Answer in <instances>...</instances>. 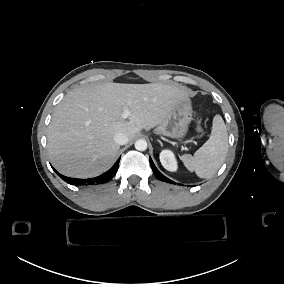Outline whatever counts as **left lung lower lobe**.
Instances as JSON below:
<instances>
[{"label": "left lung lower lobe", "instance_id": "0a47b994", "mask_svg": "<svg viewBox=\"0 0 284 284\" xmlns=\"http://www.w3.org/2000/svg\"><path fill=\"white\" fill-rule=\"evenodd\" d=\"M150 164H151V167H152V170L154 172V175L161 181H164V182H168V183H174L173 181H171L170 179H168L167 177H165L163 174H161L158 169L156 168V166L154 165L152 159L150 158Z\"/></svg>", "mask_w": 284, "mask_h": 284}]
</instances>
